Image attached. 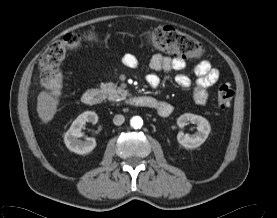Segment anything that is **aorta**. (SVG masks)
<instances>
[{
    "label": "aorta",
    "mask_w": 277,
    "mask_h": 218,
    "mask_svg": "<svg viewBox=\"0 0 277 218\" xmlns=\"http://www.w3.org/2000/svg\"><path fill=\"white\" fill-rule=\"evenodd\" d=\"M130 124L134 129H138L141 128L143 125V120L141 117L139 116H134L131 118L130 120Z\"/></svg>",
    "instance_id": "762f6f07"
}]
</instances>
